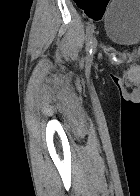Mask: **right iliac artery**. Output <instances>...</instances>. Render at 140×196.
Returning <instances> with one entry per match:
<instances>
[{"mask_svg":"<svg viewBox=\"0 0 140 196\" xmlns=\"http://www.w3.org/2000/svg\"><path fill=\"white\" fill-rule=\"evenodd\" d=\"M94 28L91 24L88 25L86 30V52L87 55H91L92 53V37H93ZM87 56V57H88Z\"/></svg>","mask_w":140,"mask_h":196,"instance_id":"1","label":"right iliac artery"}]
</instances>
